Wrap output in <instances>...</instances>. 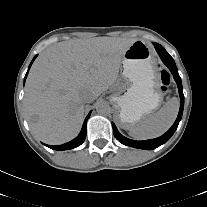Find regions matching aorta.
<instances>
[{"label":"aorta","instance_id":"1","mask_svg":"<svg viewBox=\"0 0 207 207\" xmlns=\"http://www.w3.org/2000/svg\"><path fill=\"white\" fill-rule=\"evenodd\" d=\"M96 111L98 114L105 116L110 114L111 108L107 103L101 102L96 106Z\"/></svg>","mask_w":207,"mask_h":207}]
</instances>
